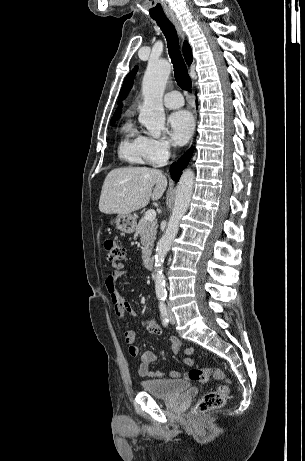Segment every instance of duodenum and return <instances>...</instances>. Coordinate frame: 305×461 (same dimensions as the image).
<instances>
[{
    "instance_id": "410a0bca",
    "label": "duodenum",
    "mask_w": 305,
    "mask_h": 461,
    "mask_svg": "<svg viewBox=\"0 0 305 461\" xmlns=\"http://www.w3.org/2000/svg\"><path fill=\"white\" fill-rule=\"evenodd\" d=\"M155 259L151 254H147L144 258V266L146 269L151 270L154 268Z\"/></svg>"
}]
</instances>
